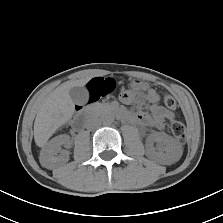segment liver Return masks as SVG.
I'll list each match as a JSON object with an SVG mask.
<instances>
[{"label": "liver", "instance_id": "obj_1", "mask_svg": "<svg viewBox=\"0 0 223 223\" xmlns=\"http://www.w3.org/2000/svg\"><path fill=\"white\" fill-rule=\"evenodd\" d=\"M89 79L64 82L43 101L34 122V140L37 146L44 147L57 129L72 118L75 105L69 91L72 87L84 86Z\"/></svg>", "mask_w": 223, "mask_h": 223}]
</instances>
